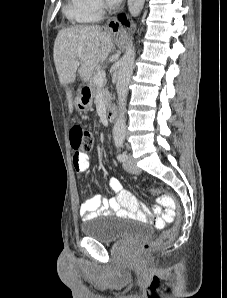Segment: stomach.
Returning a JSON list of instances; mask_svg holds the SVG:
<instances>
[{"label":"stomach","instance_id":"0dacf381","mask_svg":"<svg viewBox=\"0 0 227 298\" xmlns=\"http://www.w3.org/2000/svg\"><path fill=\"white\" fill-rule=\"evenodd\" d=\"M93 103V94L87 87L83 88L74 101L75 108L80 112H87L91 109Z\"/></svg>","mask_w":227,"mask_h":298}]
</instances>
